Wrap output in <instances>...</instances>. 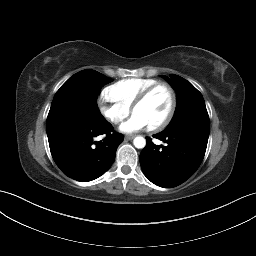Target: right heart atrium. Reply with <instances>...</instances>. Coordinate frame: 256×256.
<instances>
[{"instance_id": "right-heart-atrium-1", "label": "right heart atrium", "mask_w": 256, "mask_h": 256, "mask_svg": "<svg viewBox=\"0 0 256 256\" xmlns=\"http://www.w3.org/2000/svg\"><path fill=\"white\" fill-rule=\"evenodd\" d=\"M101 114L112 124L121 123L130 113V108L113 100L107 92H103L98 101Z\"/></svg>"}]
</instances>
